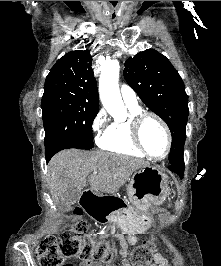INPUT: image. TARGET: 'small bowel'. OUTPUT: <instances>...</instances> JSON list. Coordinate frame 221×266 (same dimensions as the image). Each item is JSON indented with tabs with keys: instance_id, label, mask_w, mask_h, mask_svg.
<instances>
[{
	"instance_id": "small-bowel-1",
	"label": "small bowel",
	"mask_w": 221,
	"mask_h": 266,
	"mask_svg": "<svg viewBox=\"0 0 221 266\" xmlns=\"http://www.w3.org/2000/svg\"><path fill=\"white\" fill-rule=\"evenodd\" d=\"M136 243V237L134 234H129L127 238L121 240L120 255L122 256V266H129L127 256L129 248ZM154 264L152 266H171L170 263L161 253H155L153 255ZM79 266H101L98 261L89 260L82 261Z\"/></svg>"
}]
</instances>
